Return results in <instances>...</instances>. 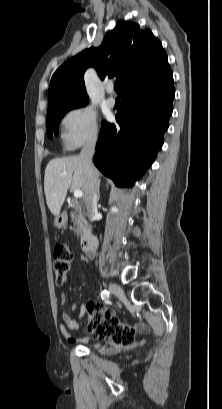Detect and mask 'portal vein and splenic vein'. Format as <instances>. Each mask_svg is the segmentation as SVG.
Listing matches in <instances>:
<instances>
[{"label":"portal vein and splenic vein","instance_id":"1","mask_svg":"<svg viewBox=\"0 0 222 409\" xmlns=\"http://www.w3.org/2000/svg\"><path fill=\"white\" fill-rule=\"evenodd\" d=\"M83 195V192L81 190H75L74 191V197L75 198H81Z\"/></svg>","mask_w":222,"mask_h":409}]
</instances>
